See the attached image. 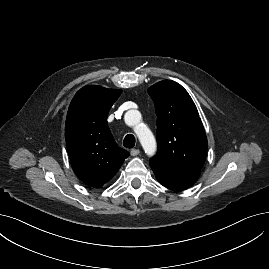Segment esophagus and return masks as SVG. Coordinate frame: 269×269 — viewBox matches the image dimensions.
Listing matches in <instances>:
<instances>
[{"label": "esophagus", "instance_id": "34e87169", "mask_svg": "<svg viewBox=\"0 0 269 269\" xmlns=\"http://www.w3.org/2000/svg\"><path fill=\"white\" fill-rule=\"evenodd\" d=\"M140 153L139 149H132L130 151L131 156H137Z\"/></svg>", "mask_w": 269, "mask_h": 269}]
</instances>
